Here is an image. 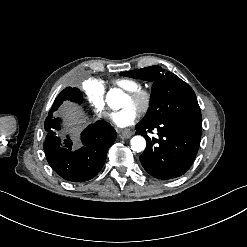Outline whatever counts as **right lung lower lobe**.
<instances>
[{
    "instance_id": "1",
    "label": "right lung lower lobe",
    "mask_w": 247,
    "mask_h": 247,
    "mask_svg": "<svg viewBox=\"0 0 247 247\" xmlns=\"http://www.w3.org/2000/svg\"><path fill=\"white\" fill-rule=\"evenodd\" d=\"M66 100L82 103L76 89L71 87L65 88L56 97L44 124L47 132L44 151L49 165L59 176L72 182H84L95 177L102 169L117 133L109 123L97 121L82 132L83 147L73 151L72 141L57 135L60 118L53 117L54 112Z\"/></svg>"
}]
</instances>
